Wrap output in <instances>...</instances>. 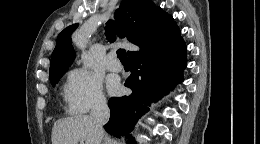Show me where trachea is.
<instances>
[{
    "label": "trachea",
    "mask_w": 260,
    "mask_h": 144,
    "mask_svg": "<svg viewBox=\"0 0 260 144\" xmlns=\"http://www.w3.org/2000/svg\"><path fill=\"white\" fill-rule=\"evenodd\" d=\"M118 27L115 21L109 20L105 26V35L109 42L113 43L116 38ZM117 57L122 63H129L125 49L117 50Z\"/></svg>",
    "instance_id": "1"
}]
</instances>
